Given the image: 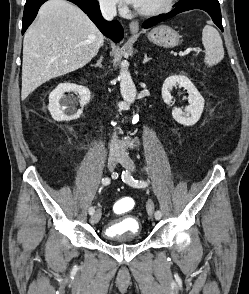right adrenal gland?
<instances>
[{
	"mask_svg": "<svg viewBox=\"0 0 249 294\" xmlns=\"http://www.w3.org/2000/svg\"><path fill=\"white\" fill-rule=\"evenodd\" d=\"M102 61H103V56H101V57L99 58V60L97 61L96 64H93V65H91V66H95V67L102 68Z\"/></svg>",
	"mask_w": 249,
	"mask_h": 294,
	"instance_id": "2a0ac1e0",
	"label": "right adrenal gland"
}]
</instances>
